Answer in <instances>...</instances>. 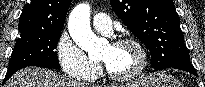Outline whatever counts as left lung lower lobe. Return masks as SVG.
I'll list each match as a JSON object with an SVG mask.
<instances>
[{
	"label": "left lung lower lobe",
	"instance_id": "0a47b994",
	"mask_svg": "<svg viewBox=\"0 0 205 87\" xmlns=\"http://www.w3.org/2000/svg\"><path fill=\"white\" fill-rule=\"evenodd\" d=\"M172 68L180 69L189 73H192L193 75L197 76L194 66L189 63H179L176 65H173Z\"/></svg>",
	"mask_w": 205,
	"mask_h": 87
}]
</instances>
